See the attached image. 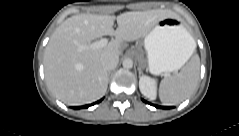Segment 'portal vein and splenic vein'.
Returning a JSON list of instances; mask_svg holds the SVG:
<instances>
[{
  "label": "portal vein and splenic vein",
  "mask_w": 239,
  "mask_h": 136,
  "mask_svg": "<svg viewBox=\"0 0 239 136\" xmlns=\"http://www.w3.org/2000/svg\"><path fill=\"white\" fill-rule=\"evenodd\" d=\"M108 44L107 38H102L99 41L93 42L92 44H89L87 46H81L80 49H100L105 47Z\"/></svg>",
  "instance_id": "18ae733b"
}]
</instances>
